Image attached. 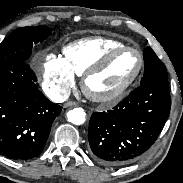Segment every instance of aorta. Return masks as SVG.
Wrapping results in <instances>:
<instances>
[{"instance_id":"762f6f07","label":"aorta","mask_w":183,"mask_h":183,"mask_svg":"<svg viewBox=\"0 0 183 183\" xmlns=\"http://www.w3.org/2000/svg\"><path fill=\"white\" fill-rule=\"evenodd\" d=\"M67 118L74 125H82L86 121V113L82 108H74L67 113Z\"/></svg>"}]
</instances>
